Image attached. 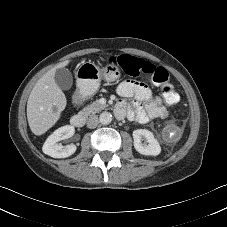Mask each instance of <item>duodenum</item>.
I'll return each mask as SVG.
<instances>
[{
	"instance_id": "1",
	"label": "duodenum",
	"mask_w": 227,
	"mask_h": 227,
	"mask_svg": "<svg viewBox=\"0 0 227 227\" xmlns=\"http://www.w3.org/2000/svg\"><path fill=\"white\" fill-rule=\"evenodd\" d=\"M86 85L85 81H80L77 84L74 96H73V105L76 107L81 106L85 98L86 92ZM86 118L83 114H75L71 118V124L76 128H83L85 126Z\"/></svg>"
}]
</instances>
